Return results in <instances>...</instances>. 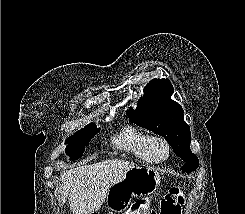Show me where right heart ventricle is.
I'll return each instance as SVG.
<instances>
[{
    "label": "right heart ventricle",
    "mask_w": 245,
    "mask_h": 214,
    "mask_svg": "<svg viewBox=\"0 0 245 214\" xmlns=\"http://www.w3.org/2000/svg\"><path fill=\"white\" fill-rule=\"evenodd\" d=\"M149 134L135 127L123 128L113 139V145L143 162H150L145 151V143Z\"/></svg>",
    "instance_id": "1"
}]
</instances>
